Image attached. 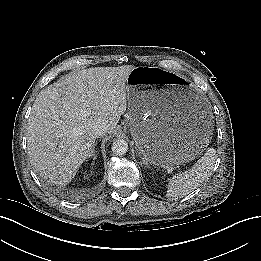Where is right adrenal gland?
I'll list each match as a JSON object with an SVG mask.
<instances>
[{"label": "right adrenal gland", "mask_w": 261, "mask_h": 261, "mask_svg": "<svg viewBox=\"0 0 261 261\" xmlns=\"http://www.w3.org/2000/svg\"><path fill=\"white\" fill-rule=\"evenodd\" d=\"M91 157H92L93 163H94V161H95V159L97 157V155L95 154V151L92 152Z\"/></svg>", "instance_id": "2a0ac1e0"}]
</instances>
